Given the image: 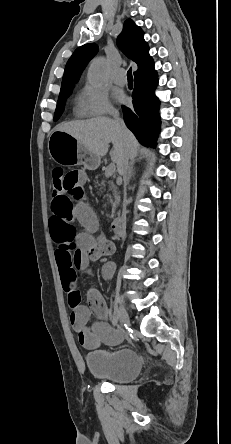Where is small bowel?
Masks as SVG:
<instances>
[{"label":"small bowel","mask_w":231,"mask_h":444,"mask_svg":"<svg viewBox=\"0 0 231 444\" xmlns=\"http://www.w3.org/2000/svg\"><path fill=\"white\" fill-rule=\"evenodd\" d=\"M87 174L83 170H71L65 176L67 194L51 200L52 215L49 219L51 238L56 245L55 259L62 286L68 295L70 323L77 333L80 344L87 349H96L102 344L115 345L120 341V333L106 321L107 305L95 288L87 292V305L83 304L78 288L76 271L90 275V263L114 252V245L104 239H97L92 231L97 219L90 205L84 199L83 187ZM74 222L83 226L76 231ZM114 265L107 263L102 268V276L110 280ZM98 321L89 325L91 315Z\"/></svg>","instance_id":"obj_1"}]
</instances>
